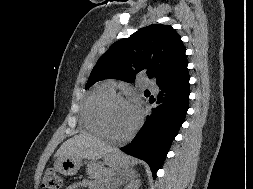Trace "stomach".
Wrapping results in <instances>:
<instances>
[{
	"mask_svg": "<svg viewBox=\"0 0 253 189\" xmlns=\"http://www.w3.org/2000/svg\"><path fill=\"white\" fill-rule=\"evenodd\" d=\"M104 164L108 165L112 169H115L126 166L127 160L122 154L118 152H111L104 156ZM81 165V158L63 157L56 160L54 168L62 175L72 176L78 172Z\"/></svg>",
	"mask_w": 253,
	"mask_h": 189,
	"instance_id": "stomach-1",
	"label": "stomach"
}]
</instances>
